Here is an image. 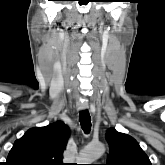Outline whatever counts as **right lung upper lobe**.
I'll return each instance as SVG.
<instances>
[{"label": "right lung upper lobe", "mask_w": 165, "mask_h": 165, "mask_svg": "<svg viewBox=\"0 0 165 165\" xmlns=\"http://www.w3.org/2000/svg\"><path fill=\"white\" fill-rule=\"evenodd\" d=\"M69 130L57 121L45 127L31 128L15 141L7 165H64L63 151Z\"/></svg>", "instance_id": "1"}]
</instances>
